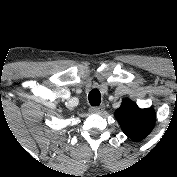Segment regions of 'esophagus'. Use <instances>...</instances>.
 Wrapping results in <instances>:
<instances>
[{"label":"esophagus","mask_w":177,"mask_h":177,"mask_svg":"<svg viewBox=\"0 0 177 177\" xmlns=\"http://www.w3.org/2000/svg\"><path fill=\"white\" fill-rule=\"evenodd\" d=\"M104 111V106L101 105V106H93L89 109V112L90 113H93V114H100Z\"/></svg>","instance_id":"34e87169"}]
</instances>
